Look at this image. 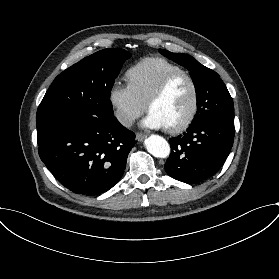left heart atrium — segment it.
I'll return each instance as SVG.
<instances>
[{"instance_id":"obj_1","label":"left heart atrium","mask_w":279,"mask_h":279,"mask_svg":"<svg viewBox=\"0 0 279 279\" xmlns=\"http://www.w3.org/2000/svg\"><path fill=\"white\" fill-rule=\"evenodd\" d=\"M142 124L150 129H162L167 127L164 120L151 111L148 112Z\"/></svg>"}]
</instances>
